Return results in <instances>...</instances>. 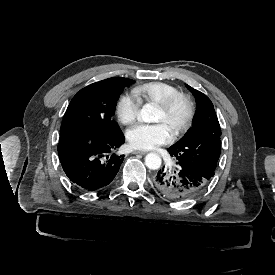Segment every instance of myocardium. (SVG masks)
<instances>
[{
  "label": "myocardium",
  "instance_id": "1",
  "mask_svg": "<svg viewBox=\"0 0 275 275\" xmlns=\"http://www.w3.org/2000/svg\"><path fill=\"white\" fill-rule=\"evenodd\" d=\"M178 101H182L184 103L187 113L183 123L174 131V138L186 133L191 128L195 117V104L189 95L182 92H175L165 99L157 102V105L162 110L169 111Z\"/></svg>",
  "mask_w": 275,
  "mask_h": 275
}]
</instances>
